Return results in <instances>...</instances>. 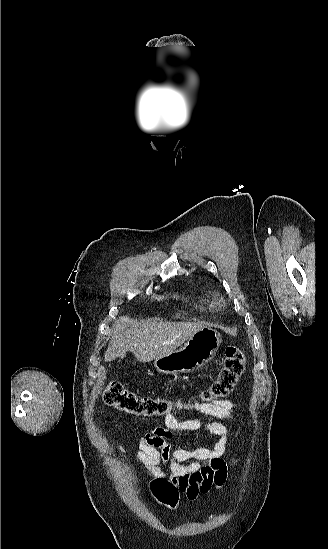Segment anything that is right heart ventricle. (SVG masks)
Returning a JSON list of instances; mask_svg holds the SVG:
<instances>
[{
  "label": "right heart ventricle",
  "mask_w": 328,
  "mask_h": 549,
  "mask_svg": "<svg viewBox=\"0 0 328 549\" xmlns=\"http://www.w3.org/2000/svg\"><path fill=\"white\" fill-rule=\"evenodd\" d=\"M199 310L202 312H212L214 310V305L211 301L202 299L200 301Z\"/></svg>",
  "instance_id": "e07e8e85"
}]
</instances>
